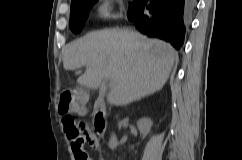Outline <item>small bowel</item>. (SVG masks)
I'll return each instance as SVG.
<instances>
[{
	"label": "small bowel",
	"instance_id": "small-bowel-1",
	"mask_svg": "<svg viewBox=\"0 0 242 160\" xmlns=\"http://www.w3.org/2000/svg\"><path fill=\"white\" fill-rule=\"evenodd\" d=\"M85 112L86 111H85L84 108H81V109L77 110V113L80 114V115H84ZM86 143L91 144V145H95L96 144L95 138L91 134H87V140H86V142H84L81 145V151H83V152H85L84 149H83V146ZM72 150L74 152V155H75L76 160H79V158H78V150L75 149V147L73 146V143H72Z\"/></svg>",
	"mask_w": 242,
	"mask_h": 160
}]
</instances>
